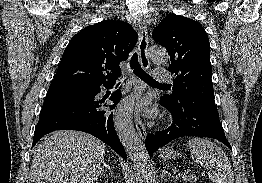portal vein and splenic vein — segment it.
Wrapping results in <instances>:
<instances>
[{"label":"portal vein and splenic vein","instance_id":"portal-vein-and-splenic-vein-1","mask_svg":"<svg viewBox=\"0 0 262 183\" xmlns=\"http://www.w3.org/2000/svg\"><path fill=\"white\" fill-rule=\"evenodd\" d=\"M190 178H195V176L190 175V176H188V177H185L186 180H188V179H190Z\"/></svg>","mask_w":262,"mask_h":183}]
</instances>
